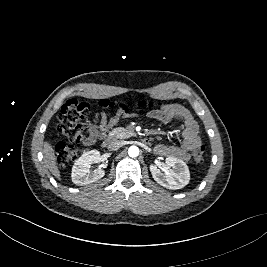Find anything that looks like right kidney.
<instances>
[{"label":"right kidney","mask_w":267,"mask_h":267,"mask_svg":"<svg viewBox=\"0 0 267 267\" xmlns=\"http://www.w3.org/2000/svg\"><path fill=\"white\" fill-rule=\"evenodd\" d=\"M100 152L97 150H91L84 153L78 158L72 168V182L76 185L83 186L93 183L101 179L105 175V171L98 168L94 171H90L93 163L101 162Z\"/></svg>","instance_id":"ca27d5eb"}]
</instances>
